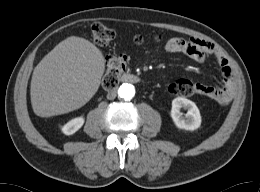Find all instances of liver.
<instances>
[{
    "instance_id": "liver-1",
    "label": "liver",
    "mask_w": 260,
    "mask_h": 192,
    "mask_svg": "<svg viewBox=\"0 0 260 192\" xmlns=\"http://www.w3.org/2000/svg\"><path fill=\"white\" fill-rule=\"evenodd\" d=\"M104 70V56L93 43L77 36L61 41L34 68V113L50 117L84 106L97 92Z\"/></svg>"
}]
</instances>
